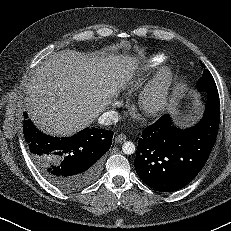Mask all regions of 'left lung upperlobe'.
<instances>
[{
  "mask_svg": "<svg viewBox=\"0 0 231 231\" xmlns=\"http://www.w3.org/2000/svg\"><path fill=\"white\" fill-rule=\"evenodd\" d=\"M197 89L203 92H217L215 81L208 69L204 70L201 79L197 82Z\"/></svg>",
  "mask_w": 231,
  "mask_h": 231,
  "instance_id": "1",
  "label": "left lung upper lobe"
}]
</instances>
